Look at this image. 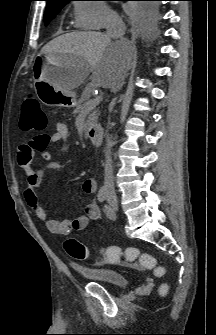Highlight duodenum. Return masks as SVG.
<instances>
[{
	"label": "duodenum",
	"instance_id": "410a0bca",
	"mask_svg": "<svg viewBox=\"0 0 216 335\" xmlns=\"http://www.w3.org/2000/svg\"><path fill=\"white\" fill-rule=\"evenodd\" d=\"M87 135L94 146L98 147L101 145L103 130L100 125H95L89 128Z\"/></svg>",
	"mask_w": 216,
	"mask_h": 335
}]
</instances>
